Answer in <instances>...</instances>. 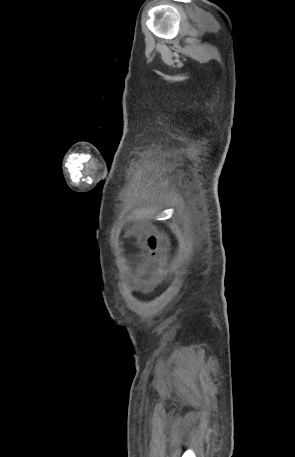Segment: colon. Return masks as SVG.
<instances>
[{"label": "colon", "mask_w": 295, "mask_h": 457, "mask_svg": "<svg viewBox=\"0 0 295 457\" xmlns=\"http://www.w3.org/2000/svg\"><path fill=\"white\" fill-rule=\"evenodd\" d=\"M163 242H164V238L161 235H158V234L150 235L146 241V247H147L149 254L151 256L155 257L158 254Z\"/></svg>", "instance_id": "1"}]
</instances>
